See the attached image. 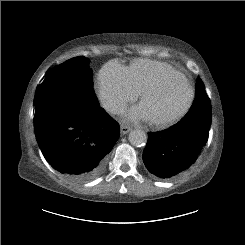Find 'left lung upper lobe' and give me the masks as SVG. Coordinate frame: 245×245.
Here are the masks:
<instances>
[{"mask_svg":"<svg viewBox=\"0 0 245 245\" xmlns=\"http://www.w3.org/2000/svg\"><path fill=\"white\" fill-rule=\"evenodd\" d=\"M202 85L197 79L196 86ZM201 95H195V100L188 113L177 123L178 125L205 124L210 120V104L205 89L200 90ZM202 103V104H200Z\"/></svg>","mask_w":245,"mask_h":245,"instance_id":"5c2ea615","label":"left lung upper lobe"}]
</instances>
